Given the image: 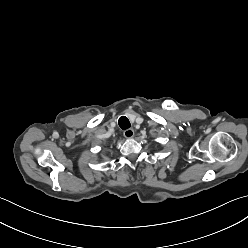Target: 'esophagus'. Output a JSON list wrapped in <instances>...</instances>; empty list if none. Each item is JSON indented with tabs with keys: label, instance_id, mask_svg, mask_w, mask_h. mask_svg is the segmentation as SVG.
I'll use <instances>...</instances> for the list:
<instances>
[{
	"label": "esophagus",
	"instance_id": "1",
	"mask_svg": "<svg viewBox=\"0 0 248 248\" xmlns=\"http://www.w3.org/2000/svg\"><path fill=\"white\" fill-rule=\"evenodd\" d=\"M124 137L127 139H131L134 136V130L133 129H127L123 133Z\"/></svg>",
	"mask_w": 248,
	"mask_h": 248
}]
</instances>
